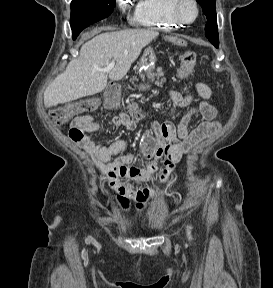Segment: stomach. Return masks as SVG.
<instances>
[{"label": "stomach", "mask_w": 273, "mask_h": 288, "mask_svg": "<svg viewBox=\"0 0 273 288\" xmlns=\"http://www.w3.org/2000/svg\"><path fill=\"white\" fill-rule=\"evenodd\" d=\"M155 62H156L155 51L152 47H148L144 51V53H143V55H142V57L138 63V65H139L138 69L140 71L143 70V71L150 73L154 69Z\"/></svg>", "instance_id": "stomach-1"}]
</instances>
